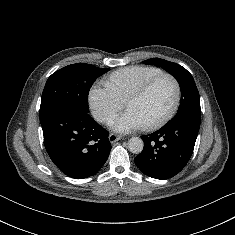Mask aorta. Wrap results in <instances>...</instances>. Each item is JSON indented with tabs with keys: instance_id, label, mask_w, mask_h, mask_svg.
I'll return each instance as SVG.
<instances>
[{
	"instance_id": "762f6f07",
	"label": "aorta",
	"mask_w": 235,
	"mask_h": 235,
	"mask_svg": "<svg viewBox=\"0 0 235 235\" xmlns=\"http://www.w3.org/2000/svg\"><path fill=\"white\" fill-rule=\"evenodd\" d=\"M144 148V142L141 138L139 137H132L128 141V149L130 152L133 154H139L142 152Z\"/></svg>"
}]
</instances>
